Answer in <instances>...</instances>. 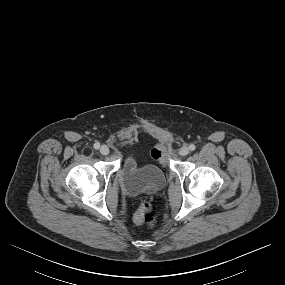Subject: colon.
I'll return each mask as SVG.
<instances>
[{"instance_id":"obj_1","label":"colon","mask_w":285,"mask_h":285,"mask_svg":"<svg viewBox=\"0 0 285 285\" xmlns=\"http://www.w3.org/2000/svg\"><path fill=\"white\" fill-rule=\"evenodd\" d=\"M152 155L154 158L163 160L164 150L162 147H157L153 150ZM134 221L143 226H151L154 222L155 215L152 206L149 202L143 201L139 204L133 215Z\"/></svg>"}]
</instances>
